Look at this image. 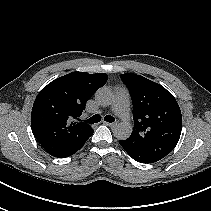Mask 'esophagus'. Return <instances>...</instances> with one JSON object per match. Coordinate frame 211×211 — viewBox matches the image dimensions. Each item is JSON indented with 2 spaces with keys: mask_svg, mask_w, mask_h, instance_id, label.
<instances>
[{
  "mask_svg": "<svg viewBox=\"0 0 211 211\" xmlns=\"http://www.w3.org/2000/svg\"><path fill=\"white\" fill-rule=\"evenodd\" d=\"M104 124L111 127V128H113L117 125V123H108V122H104Z\"/></svg>",
  "mask_w": 211,
  "mask_h": 211,
  "instance_id": "esophagus-1",
  "label": "esophagus"
}]
</instances>
